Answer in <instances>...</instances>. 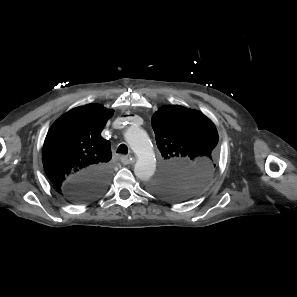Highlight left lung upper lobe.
Segmentation results:
<instances>
[{
	"label": "left lung upper lobe",
	"mask_w": 297,
	"mask_h": 297,
	"mask_svg": "<svg viewBox=\"0 0 297 297\" xmlns=\"http://www.w3.org/2000/svg\"><path fill=\"white\" fill-rule=\"evenodd\" d=\"M152 128L163 166L150 183V191L172 201L191 198L214 172L218 155L215 126L204 114L173 105L153 115Z\"/></svg>",
	"instance_id": "left-lung-upper-lobe-1"
}]
</instances>
